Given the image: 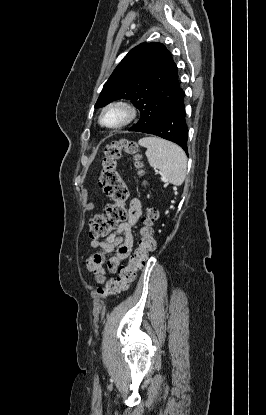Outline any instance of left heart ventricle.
Wrapping results in <instances>:
<instances>
[{
	"label": "left heart ventricle",
	"mask_w": 266,
	"mask_h": 415,
	"mask_svg": "<svg viewBox=\"0 0 266 415\" xmlns=\"http://www.w3.org/2000/svg\"><path fill=\"white\" fill-rule=\"evenodd\" d=\"M123 113L120 110H111L108 111L104 116V121L106 124L114 125L121 121Z\"/></svg>",
	"instance_id": "1"
}]
</instances>
